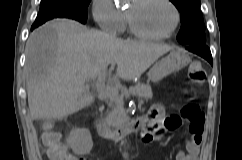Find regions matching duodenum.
<instances>
[{
	"label": "duodenum",
	"mask_w": 242,
	"mask_h": 160,
	"mask_svg": "<svg viewBox=\"0 0 242 160\" xmlns=\"http://www.w3.org/2000/svg\"><path fill=\"white\" fill-rule=\"evenodd\" d=\"M146 122H147V118L140 117L130 121L129 123H127L126 125L118 129L112 130L107 126L106 123L98 120L96 121L95 128H96L97 134L101 138L112 142H118L124 139L130 133L143 129Z\"/></svg>",
	"instance_id": "1"
}]
</instances>
